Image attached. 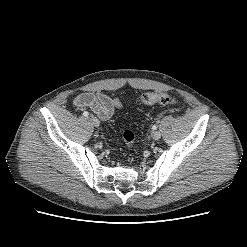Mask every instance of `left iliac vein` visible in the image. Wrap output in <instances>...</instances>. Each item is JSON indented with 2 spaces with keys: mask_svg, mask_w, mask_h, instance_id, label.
I'll return each instance as SVG.
<instances>
[{
  "mask_svg": "<svg viewBox=\"0 0 247 247\" xmlns=\"http://www.w3.org/2000/svg\"><path fill=\"white\" fill-rule=\"evenodd\" d=\"M152 137L154 140H159L161 137V133L159 131H153L152 132Z\"/></svg>",
  "mask_w": 247,
  "mask_h": 247,
  "instance_id": "4c4485c4",
  "label": "left iliac vein"
}]
</instances>
